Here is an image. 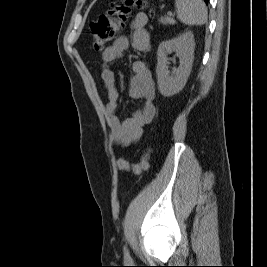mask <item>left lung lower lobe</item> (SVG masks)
Wrapping results in <instances>:
<instances>
[{"label": "left lung lower lobe", "instance_id": "left-lung-lower-lobe-1", "mask_svg": "<svg viewBox=\"0 0 267 267\" xmlns=\"http://www.w3.org/2000/svg\"><path fill=\"white\" fill-rule=\"evenodd\" d=\"M204 1H205V3L207 4L209 0H204Z\"/></svg>", "mask_w": 267, "mask_h": 267}]
</instances>
